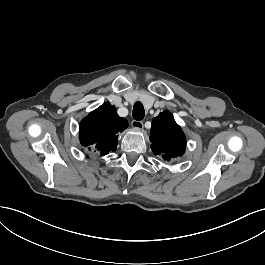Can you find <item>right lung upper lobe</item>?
I'll use <instances>...</instances> for the list:
<instances>
[{
	"mask_svg": "<svg viewBox=\"0 0 265 265\" xmlns=\"http://www.w3.org/2000/svg\"><path fill=\"white\" fill-rule=\"evenodd\" d=\"M127 127V120L118 116L115 107L104 103L81 121L80 143L95 156L104 157L116 150L118 133Z\"/></svg>",
	"mask_w": 265,
	"mask_h": 265,
	"instance_id": "1",
	"label": "right lung upper lobe"
}]
</instances>
